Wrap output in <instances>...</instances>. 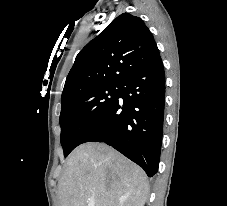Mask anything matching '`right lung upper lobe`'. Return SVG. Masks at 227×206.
<instances>
[{
    "instance_id": "right-lung-upper-lobe-1",
    "label": "right lung upper lobe",
    "mask_w": 227,
    "mask_h": 206,
    "mask_svg": "<svg viewBox=\"0 0 227 206\" xmlns=\"http://www.w3.org/2000/svg\"><path fill=\"white\" fill-rule=\"evenodd\" d=\"M159 50L139 17L123 13L76 56L61 100L92 87L121 82L158 58Z\"/></svg>"
}]
</instances>
